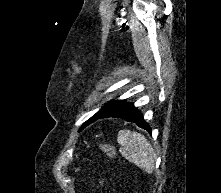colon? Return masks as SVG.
<instances>
[{
  "label": "colon",
  "instance_id": "1",
  "mask_svg": "<svg viewBox=\"0 0 221 193\" xmlns=\"http://www.w3.org/2000/svg\"><path fill=\"white\" fill-rule=\"evenodd\" d=\"M98 148L111 158L116 156L114 147L109 144H100L98 145Z\"/></svg>",
  "mask_w": 221,
  "mask_h": 193
}]
</instances>
